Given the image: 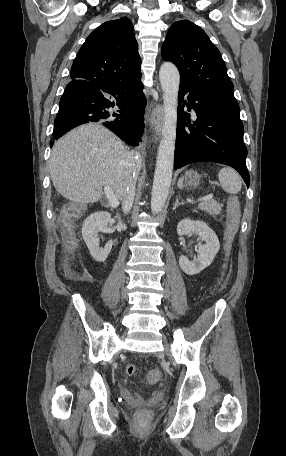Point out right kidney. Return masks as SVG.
Here are the masks:
<instances>
[{
    "mask_svg": "<svg viewBox=\"0 0 286 456\" xmlns=\"http://www.w3.org/2000/svg\"><path fill=\"white\" fill-rule=\"evenodd\" d=\"M111 219V214L106 211H99L89 215L82 225V237L86 243L91 256L97 262H104L108 257L113 241L110 240L106 243L104 248L99 247V231L107 227Z\"/></svg>",
    "mask_w": 286,
    "mask_h": 456,
    "instance_id": "right-kidney-1",
    "label": "right kidney"
}]
</instances>
